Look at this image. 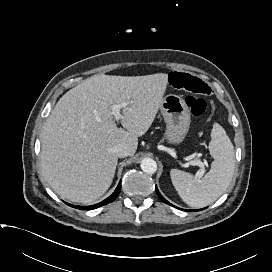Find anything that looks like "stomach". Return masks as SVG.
I'll list each match as a JSON object with an SVG mask.
<instances>
[{"label": "stomach", "mask_w": 272, "mask_h": 272, "mask_svg": "<svg viewBox=\"0 0 272 272\" xmlns=\"http://www.w3.org/2000/svg\"><path fill=\"white\" fill-rule=\"evenodd\" d=\"M166 122L165 137L171 144L181 143L190 126V110L181 96L169 94L163 98L160 107Z\"/></svg>", "instance_id": "1"}]
</instances>
